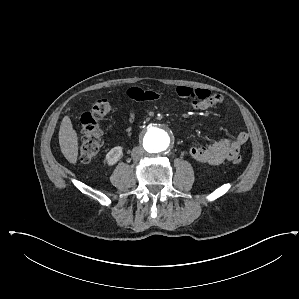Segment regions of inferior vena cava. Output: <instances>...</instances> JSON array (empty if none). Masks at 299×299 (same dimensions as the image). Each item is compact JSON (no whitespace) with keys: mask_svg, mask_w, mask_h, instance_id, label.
<instances>
[{"mask_svg":"<svg viewBox=\"0 0 299 299\" xmlns=\"http://www.w3.org/2000/svg\"><path fill=\"white\" fill-rule=\"evenodd\" d=\"M144 149L142 147H134L131 156L133 160L138 161L143 157Z\"/></svg>","mask_w":299,"mask_h":299,"instance_id":"inferior-vena-cava-1","label":"inferior vena cava"}]
</instances>
